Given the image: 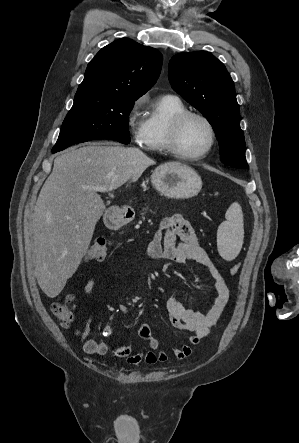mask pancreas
I'll use <instances>...</instances> for the list:
<instances>
[{
  "label": "pancreas",
  "instance_id": "obj_1",
  "mask_svg": "<svg viewBox=\"0 0 299 443\" xmlns=\"http://www.w3.org/2000/svg\"><path fill=\"white\" fill-rule=\"evenodd\" d=\"M144 210H146V209H143V211H144ZM144 214H145V213H142V215H144Z\"/></svg>",
  "mask_w": 299,
  "mask_h": 443
}]
</instances>
